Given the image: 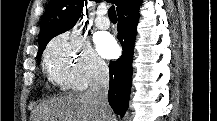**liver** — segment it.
<instances>
[{
    "mask_svg": "<svg viewBox=\"0 0 217 121\" xmlns=\"http://www.w3.org/2000/svg\"><path fill=\"white\" fill-rule=\"evenodd\" d=\"M33 121H102L99 107L86 94L51 99L34 111Z\"/></svg>",
    "mask_w": 217,
    "mask_h": 121,
    "instance_id": "6515ba94",
    "label": "liver"
}]
</instances>
